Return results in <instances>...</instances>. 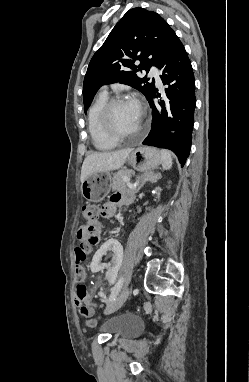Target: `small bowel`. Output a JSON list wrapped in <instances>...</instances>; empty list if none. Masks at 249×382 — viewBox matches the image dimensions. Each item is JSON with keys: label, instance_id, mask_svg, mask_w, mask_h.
<instances>
[{"label": "small bowel", "instance_id": "small-bowel-1", "mask_svg": "<svg viewBox=\"0 0 249 382\" xmlns=\"http://www.w3.org/2000/svg\"><path fill=\"white\" fill-rule=\"evenodd\" d=\"M130 202H131V196L129 193H127V192H116L110 197L109 201L103 206V208L101 209V212L105 216H108V217L112 216L118 205L128 204ZM99 232H100V227L98 224L82 225L76 233V237L78 240L77 247L78 248H87V247L89 248L90 245L99 246L100 245V240L98 239ZM90 268H91V265H90ZM101 299H102V297H101ZM84 302L87 305H94V303L92 301H90L87 297L85 299H83V298H76L75 299L76 305H78V306L82 305L81 313H82V310L85 311L88 308L89 312L87 314H83V313L82 314L87 316V317H91L93 315L94 310L91 307H87V305H85ZM92 324H93V321L89 320L88 325H92Z\"/></svg>", "mask_w": 249, "mask_h": 382}]
</instances>
